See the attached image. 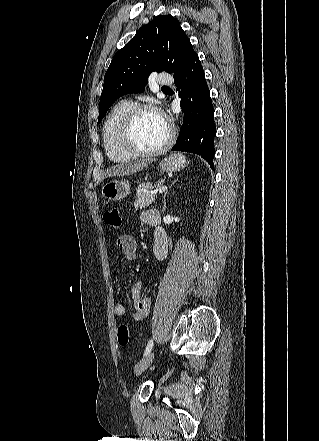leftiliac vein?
Wrapping results in <instances>:
<instances>
[{"instance_id":"left-iliac-vein-1","label":"left iliac vein","mask_w":319,"mask_h":441,"mask_svg":"<svg viewBox=\"0 0 319 441\" xmlns=\"http://www.w3.org/2000/svg\"><path fill=\"white\" fill-rule=\"evenodd\" d=\"M154 359V352H150L147 354L142 360H140L135 368L134 372L136 375H140L142 372H144L152 363Z\"/></svg>"}]
</instances>
